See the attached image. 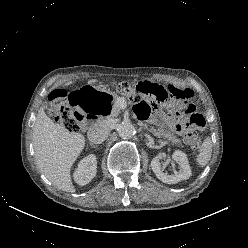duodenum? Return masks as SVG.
Returning a JSON list of instances; mask_svg holds the SVG:
<instances>
[{
    "mask_svg": "<svg viewBox=\"0 0 248 248\" xmlns=\"http://www.w3.org/2000/svg\"><path fill=\"white\" fill-rule=\"evenodd\" d=\"M98 117H96L93 113H89V112H85L84 116H83V125L87 126L89 125L91 122L97 120Z\"/></svg>",
    "mask_w": 248,
    "mask_h": 248,
    "instance_id": "duodenum-1",
    "label": "duodenum"
}]
</instances>
